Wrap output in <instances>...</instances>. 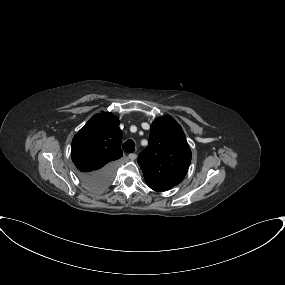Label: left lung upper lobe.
I'll list each match as a JSON object with an SVG mask.
<instances>
[{
  "instance_id": "obj_1",
  "label": "left lung upper lobe",
  "mask_w": 285,
  "mask_h": 285,
  "mask_svg": "<svg viewBox=\"0 0 285 285\" xmlns=\"http://www.w3.org/2000/svg\"><path fill=\"white\" fill-rule=\"evenodd\" d=\"M190 162L191 150L181 126L170 116L156 119L149 145L138 156L147 185L157 192L171 189L183 180Z\"/></svg>"
}]
</instances>
